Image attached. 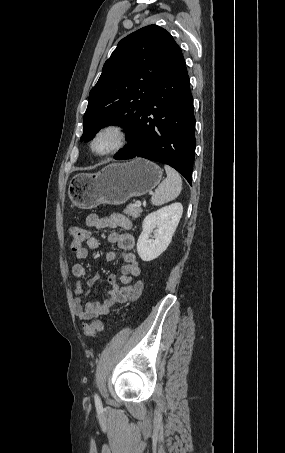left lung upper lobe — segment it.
Masks as SVG:
<instances>
[{
    "label": "left lung upper lobe",
    "instance_id": "5c2ea615",
    "mask_svg": "<svg viewBox=\"0 0 285 453\" xmlns=\"http://www.w3.org/2000/svg\"><path fill=\"white\" fill-rule=\"evenodd\" d=\"M178 49L171 34L156 25L123 38L90 91L81 141L108 125L125 128L127 139Z\"/></svg>",
    "mask_w": 285,
    "mask_h": 453
}]
</instances>
